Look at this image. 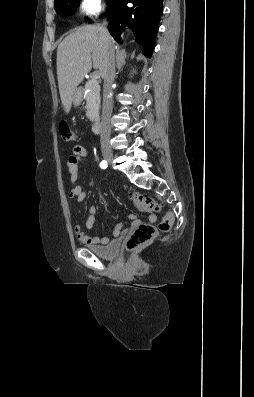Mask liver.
Returning <instances> with one entry per match:
<instances>
[{
	"label": "liver",
	"instance_id": "obj_1",
	"mask_svg": "<svg viewBox=\"0 0 254 397\" xmlns=\"http://www.w3.org/2000/svg\"><path fill=\"white\" fill-rule=\"evenodd\" d=\"M114 47V41L111 38ZM107 44L101 26L85 25L75 29L58 46L57 79L65 113H69L77 86L92 66L104 76Z\"/></svg>",
	"mask_w": 254,
	"mask_h": 397
}]
</instances>
